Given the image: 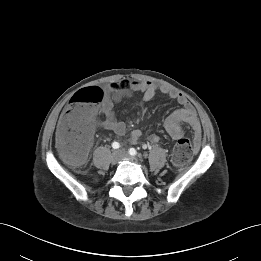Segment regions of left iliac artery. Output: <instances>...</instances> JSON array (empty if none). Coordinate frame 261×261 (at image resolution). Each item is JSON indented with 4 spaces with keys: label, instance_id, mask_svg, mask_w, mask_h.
Masks as SVG:
<instances>
[{
    "label": "left iliac artery",
    "instance_id": "obj_1",
    "mask_svg": "<svg viewBox=\"0 0 261 261\" xmlns=\"http://www.w3.org/2000/svg\"><path fill=\"white\" fill-rule=\"evenodd\" d=\"M129 154L132 155V156H135V155H137V151L134 148H130Z\"/></svg>",
    "mask_w": 261,
    "mask_h": 261
}]
</instances>
